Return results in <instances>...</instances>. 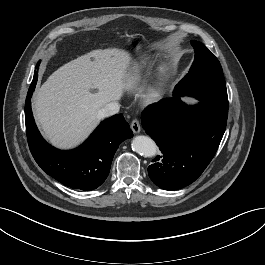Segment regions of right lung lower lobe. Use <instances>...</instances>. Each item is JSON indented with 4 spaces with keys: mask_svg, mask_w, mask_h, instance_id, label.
<instances>
[{
    "mask_svg": "<svg viewBox=\"0 0 265 265\" xmlns=\"http://www.w3.org/2000/svg\"><path fill=\"white\" fill-rule=\"evenodd\" d=\"M34 76L38 78L36 71ZM35 85L33 78L25 104L28 144L35 161L48 175L67 187L86 191L96 189L107 178L119 144L133 136L128 123L122 114L114 115L101 122L78 148L58 150L42 138L35 125L30 101Z\"/></svg>",
    "mask_w": 265,
    "mask_h": 265,
    "instance_id": "obj_1",
    "label": "right lung lower lobe"
}]
</instances>
